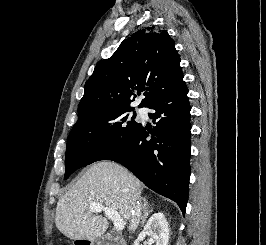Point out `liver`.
I'll return each mask as SVG.
<instances>
[{
    "label": "liver",
    "mask_w": 266,
    "mask_h": 245,
    "mask_svg": "<svg viewBox=\"0 0 266 245\" xmlns=\"http://www.w3.org/2000/svg\"><path fill=\"white\" fill-rule=\"evenodd\" d=\"M141 191L142 183L121 165L95 163L59 199L55 225L68 239L94 241L107 231L109 223L92 213L91 203L115 209L125 223L130 219L132 199Z\"/></svg>",
    "instance_id": "1"
}]
</instances>
